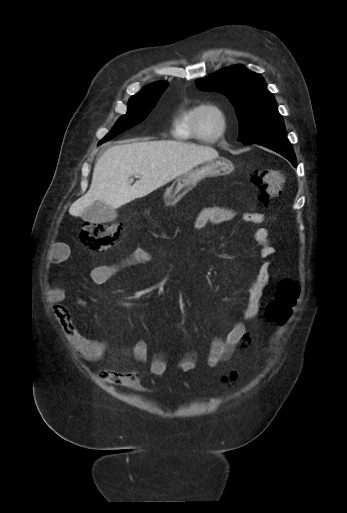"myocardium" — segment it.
Here are the masks:
<instances>
[{
	"label": "myocardium",
	"instance_id": "obj_1",
	"mask_svg": "<svg viewBox=\"0 0 347 513\" xmlns=\"http://www.w3.org/2000/svg\"><path fill=\"white\" fill-rule=\"evenodd\" d=\"M204 111H213L220 118L221 127H220L219 131L211 137H204L200 132L199 117L202 114V112H204ZM192 127H193V131L195 134H197L200 137H204L207 142L213 143V142L221 139L225 135L227 128H228V114H227L226 110L219 104H215V103L201 104L196 109Z\"/></svg>",
	"mask_w": 347,
	"mask_h": 513
}]
</instances>
